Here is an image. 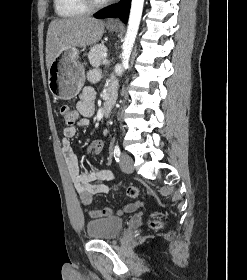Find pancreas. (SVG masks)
<instances>
[{
  "label": "pancreas",
  "mask_w": 247,
  "mask_h": 280,
  "mask_svg": "<svg viewBox=\"0 0 247 280\" xmlns=\"http://www.w3.org/2000/svg\"><path fill=\"white\" fill-rule=\"evenodd\" d=\"M106 50L107 48L103 44L95 45L90 49L88 59L93 67H99L103 63L105 59L103 53L106 52Z\"/></svg>",
  "instance_id": "obj_1"
}]
</instances>
